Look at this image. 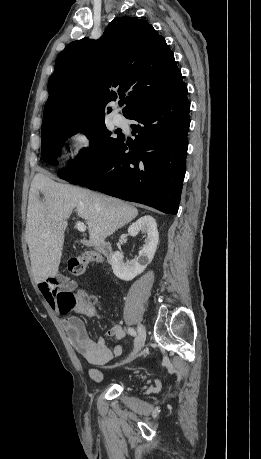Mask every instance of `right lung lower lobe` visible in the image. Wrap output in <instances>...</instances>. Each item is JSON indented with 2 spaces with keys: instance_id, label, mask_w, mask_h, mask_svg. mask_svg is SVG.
<instances>
[{
  "instance_id": "1",
  "label": "right lung lower lobe",
  "mask_w": 261,
  "mask_h": 459,
  "mask_svg": "<svg viewBox=\"0 0 261 459\" xmlns=\"http://www.w3.org/2000/svg\"><path fill=\"white\" fill-rule=\"evenodd\" d=\"M189 110L185 83L138 108L127 117L138 122L131 126L134 142L123 136L101 165L70 183L176 214L186 171Z\"/></svg>"
}]
</instances>
